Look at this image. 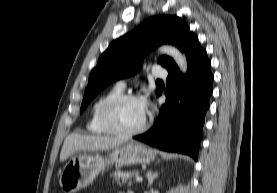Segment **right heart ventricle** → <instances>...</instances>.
<instances>
[{
  "instance_id": "e07e8e85",
  "label": "right heart ventricle",
  "mask_w": 277,
  "mask_h": 193,
  "mask_svg": "<svg viewBox=\"0 0 277 193\" xmlns=\"http://www.w3.org/2000/svg\"><path fill=\"white\" fill-rule=\"evenodd\" d=\"M121 93H122V89L115 86L109 89L108 91H106L105 93H103L93 102L89 111V118L86 124V128L90 133L97 134V135H102L107 133V131L103 128L99 120L100 107L103 104V102L106 101L108 98L116 96Z\"/></svg>"
}]
</instances>
